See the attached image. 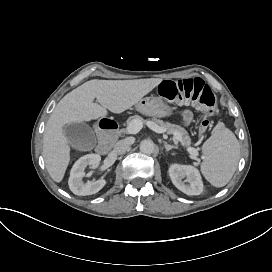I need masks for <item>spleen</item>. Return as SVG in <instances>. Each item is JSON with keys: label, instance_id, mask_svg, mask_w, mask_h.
Here are the masks:
<instances>
[{"label": "spleen", "instance_id": "3e777b00", "mask_svg": "<svg viewBox=\"0 0 272 272\" xmlns=\"http://www.w3.org/2000/svg\"><path fill=\"white\" fill-rule=\"evenodd\" d=\"M201 172L213 186L223 187L233 177L240 158V145L234 133L219 122L202 146Z\"/></svg>", "mask_w": 272, "mask_h": 272}]
</instances>
